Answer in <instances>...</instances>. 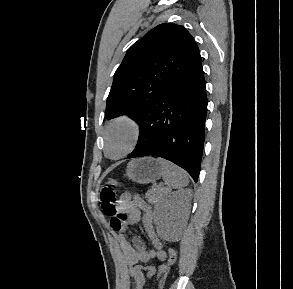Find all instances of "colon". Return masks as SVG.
Segmentation results:
<instances>
[{
	"mask_svg": "<svg viewBox=\"0 0 293 289\" xmlns=\"http://www.w3.org/2000/svg\"><path fill=\"white\" fill-rule=\"evenodd\" d=\"M120 187V183L116 180H109L107 185L103 187L100 193L101 205L103 211L114 218L113 226L115 230H120L123 228V224L115 219L118 215V205H117V188ZM177 253L173 248L168 250V260L164 264L157 276V287L161 289L166 276L168 275L171 267L176 263Z\"/></svg>",
	"mask_w": 293,
	"mask_h": 289,
	"instance_id": "colon-1",
	"label": "colon"
}]
</instances>
